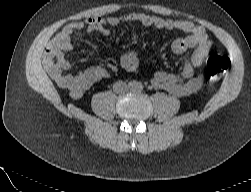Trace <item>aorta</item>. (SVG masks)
<instances>
[{
	"label": "aorta",
	"instance_id": "obj_1",
	"mask_svg": "<svg viewBox=\"0 0 251 192\" xmlns=\"http://www.w3.org/2000/svg\"><path fill=\"white\" fill-rule=\"evenodd\" d=\"M133 89L140 91L142 89V86L141 85H134Z\"/></svg>",
	"mask_w": 251,
	"mask_h": 192
}]
</instances>
